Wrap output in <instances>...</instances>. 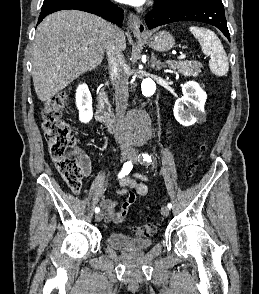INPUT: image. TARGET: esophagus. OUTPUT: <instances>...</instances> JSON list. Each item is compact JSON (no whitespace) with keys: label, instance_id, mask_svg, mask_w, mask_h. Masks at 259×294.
<instances>
[{"label":"esophagus","instance_id":"esophagus-1","mask_svg":"<svg viewBox=\"0 0 259 294\" xmlns=\"http://www.w3.org/2000/svg\"><path fill=\"white\" fill-rule=\"evenodd\" d=\"M128 27L137 37H144L146 35V26L139 16L131 13L128 16Z\"/></svg>","mask_w":259,"mask_h":294}]
</instances>
